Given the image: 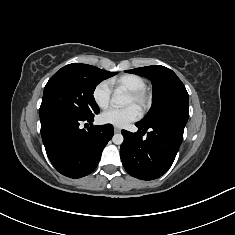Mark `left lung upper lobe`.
<instances>
[{
	"label": "left lung upper lobe",
	"mask_w": 235,
	"mask_h": 235,
	"mask_svg": "<svg viewBox=\"0 0 235 235\" xmlns=\"http://www.w3.org/2000/svg\"><path fill=\"white\" fill-rule=\"evenodd\" d=\"M126 72L147 77L153 84V105L139 123L148 125L159 121H177L186 125L189 117L188 93L172 70L152 65Z\"/></svg>",
	"instance_id": "left-lung-upper-lobe-1"
}]
</instances>
